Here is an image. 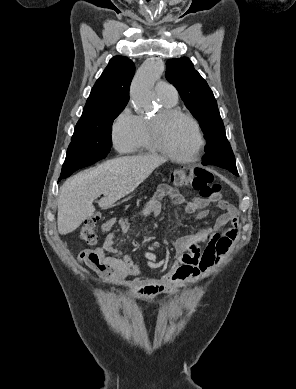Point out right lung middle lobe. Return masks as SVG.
Segmentation results:
<instances>
[{"label": "right lung middle lobe", "mask_w": 296, "mask_h": 389, "mask_svg": "<svg viewBox=\"0 0 296 389\" xmlns=\"http://www.w3.org/2000/svg\"><path fill=\"white\" fill-rule=\"evenodd\" d=\"M123 108L118 107L80 118L61 173H73L107 156L111 148V126Z\"/></svg>", "instance_id": "obj_1"}]
</instances>
